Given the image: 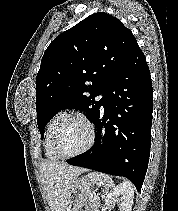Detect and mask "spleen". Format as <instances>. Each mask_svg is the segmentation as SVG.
<instances>
[{
	"instance_id": "1",
	"label": "spleen",
	"mask_w": 178,
	"mask_h": 211,
	"mask_svg": "<svg viewBox=\"0 0 178 211\" xmlns=\"http://www.w3.org/2000/svg\"><path fill=\"white\" fill-rule=\"evenodd\" d=\"M91 181L95 182L99 187H104L105 189L112 188L114 182L112 178L106 174L100 172H91L87 176Z\"/></svg>"
}]
</instances>
